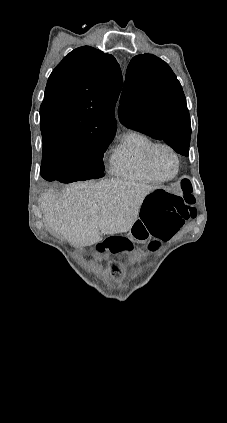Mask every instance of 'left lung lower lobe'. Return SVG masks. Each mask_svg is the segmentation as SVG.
<instances>
[{"instance_id": "left-lung-lower-lobe-1", "label": "left lung lower lobe", "mask_w": 227, "mask_h": 423, "mask_svg": "<svg viewBox=\"0 0 227 423\" xmlns=\"http://www.w3.org/2000/svg\"><path fill=\"white\" fill-rule=\"evenodd\" d=\"M177 153L182 154L184 156H188L189 151V143L180 142L176 146L172 147Z\"/></svg>"}]
</instances>
